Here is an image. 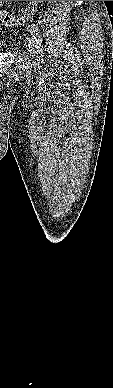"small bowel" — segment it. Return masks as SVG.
<instances>
[{
  "label": "small bowel",
  "mask_w": 113,
  "mask_h": 388,
  "mask_svg": "<svg viewBox=\"0 0 113 388\" xmlns=\"http://www.w3.org/2000/svg\"><path fill=\"white\" fill-rule=\"evenodd\" d=\"M4 1H0V7H3Z\"/></svg>",
  "instance_id": "1"
}]
</instances>
